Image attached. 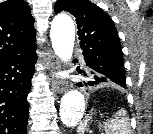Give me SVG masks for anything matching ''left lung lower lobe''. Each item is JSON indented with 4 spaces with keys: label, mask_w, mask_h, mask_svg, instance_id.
Segmentation results:
<instances>
[{
    "label": "left lung lower lobe",
    "mask_w": 153,
    "mask_h": 134,
    "mask_svg": "<svg viewBox=\"0 0 153 134\" xmlns=\"http://www.w3.org/2000/svg\"><path fill=\"white\" fill-rule=\"evenodd\" d=\"M85 77L87 78L86 82H84L85 86L88 90L93 89L95 86L105 83V78L100 75L98 72L90 69V71L85 74ZM78 86H83L81 83L77 84Z\"/></svg>",
    "instance_id": "left-lung-lower-lobe-1"
}]
</instances>
